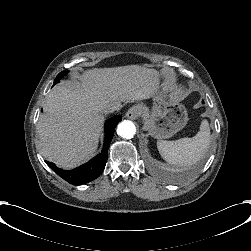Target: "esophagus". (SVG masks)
I'll list each match as a JSON object with an SVG mask.
<instances>
[{
    "mask_svg": "<svg viewBox=\"0 0 251 251\" xmlns=\"http://www.w3.org/2000/svg\"><path fill=\"white\" fill-rule=\"evenodd\" d=\"M140 116V107L139 106H133L131 107L127 113H126V117L129 119H136Z\"/></svg>",
    "mask_w": 251,
    "mask_h": 251,
    "instance_id": "1",
    "label": "esophagus"
}]
</instances>
